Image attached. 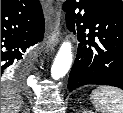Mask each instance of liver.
<instances>
[{"instance_id":"1","label":"liver","mask_w":123,"mask_h":113,"mask_svg":"<svg viewBox=\"0 0 123 113\" xmlns=\"http://www.w3.org/2000/svg\"><path fill=\"white\" fill-rule=\"evenodd\" d=\"M23 101L16 90L1 88V113H20Z\"/></svg>"}]
</instances>
